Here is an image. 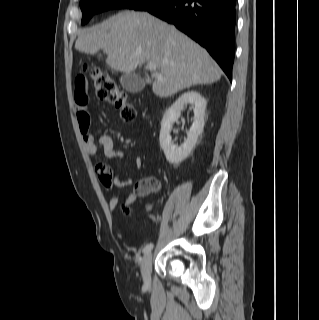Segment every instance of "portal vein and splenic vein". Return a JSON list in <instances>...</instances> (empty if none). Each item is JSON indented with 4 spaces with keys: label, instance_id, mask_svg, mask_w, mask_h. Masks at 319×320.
I'll use <instances>...</instances> for the list:
<instances>
[{
    "label": "portal vein and splenic vein",
    "instance_id": "1",
    "mask_svg": "<svg viewBox=\"0 0 319 320\" xmlns=\"http://www.w3.org/2000/svg\"><path fill=\"white\" fill-rule=\"evenodd\" d=\"M147 67H148V69H149L150 71L155 72V75H156L157 79H159V80H162V79H163V77L156 72V70H157V65H156V63H154V62H149L148 65H147Z\"/></svg>",
    "mask_w": 319,
    "mask_h": 320
}]
</instances>
